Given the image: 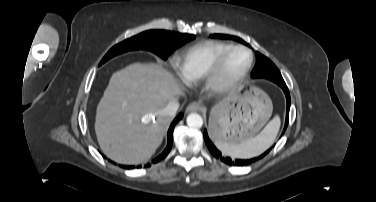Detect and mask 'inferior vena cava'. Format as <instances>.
Here are the masks:
<instances>
[{
    "mask_svg": "<svg viewBox=\"0 0 376 202\" xmlns=\"http://www.w3.org/2000/svg\"><path fill=\"white\" fill-rule=\"evenodd\" d=\"M179 108V103L177 100L170 101L167 106L163 109L162 115L173 118Z\"/></svg>",
    "mask_w": 376,
    "mask_h": 202,
    "instance_id": "602c4592",
    "label": "inferior vena cava"
}]
</instances>
